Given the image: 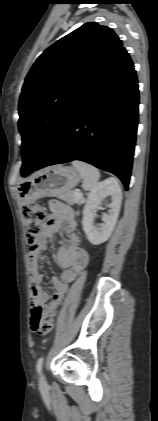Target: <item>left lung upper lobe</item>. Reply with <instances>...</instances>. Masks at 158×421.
Instances as JSON below:
<instances>
[{
  "label": "left lung upper lobe",
  "mask_w": 158,
  "mask_h": 421,
  "mask_svg": "<svg viewBox=\"0 0 158 421\" xmlns=\"http://www.w3.org/2000/svg\"><path fill=\"white\" fill-rule=\"evenodd\" d=\"M121 47L111 28L88 22L38 57L19 100L22 174L41 162L71 108Z\"/></svg>",
  "instance_id": "left-lung-upper-lobe-1"
}]
</instances>
